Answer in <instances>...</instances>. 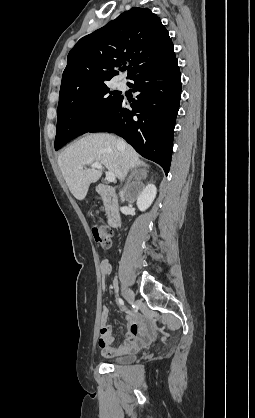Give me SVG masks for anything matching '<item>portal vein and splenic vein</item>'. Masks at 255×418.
I'll return each instance as SVG.
<instances>
[{
  "mask_svg": "<svg viewBox=\"0 0 255 418\" xmlns=\"http://www.w3.org/2000/svg\"><path fill=\"white\" fill-rule=\"evenodd\" d=\"M90 167L102 170V165L100 163H93V164L90 165ZM80 169H83V167H80ZM105 175H106L105 178L108 182H114L115 181V174L114 173L106 172Z\"/></svg>",
  "mask_w": 255,
  "mask_h": 418,
  "instance_id": "portal-vein-and-splenic-vein-1",
  "label": "portal vein and splenic vein"
}]
</instances>
